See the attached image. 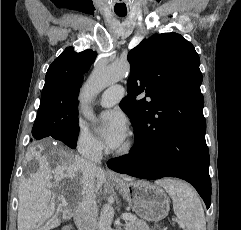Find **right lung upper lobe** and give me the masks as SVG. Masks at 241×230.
<instances>
[{
  "mask_svg": "<svg viewBox=\"0 0 241 230\" xmlns=\"http://www.w3.org/2000/svg\"><path fill=\"white\" fill-rule=\"evenodd\" d=\"M96 56L97 53L92 50L77 53L73 47H67L47 70L38 111L77 109L83 75Z\"/></svg>",
  "mask_w": 241,
  "mask_h": 230,
  "instance_id": "obj_1",
  "label": "right lung upper lobe"
}]
</instances>
